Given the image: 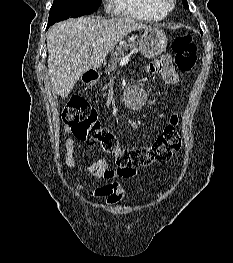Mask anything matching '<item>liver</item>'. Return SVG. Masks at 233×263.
<instances>
[{
    "instance_id": "1",
    "label": "liver",
    "mask_w": 233,
    "mask_h": 263,
    "mask_svg": "<svg viewBox=\"0 0 233 263\" xmlns=\"http://www.w3.org/2000/svg\"><path fill=\"white\" fill-rule=\"evenodd\" d=\"M148 28L129 17H81L54 25L47 33V48L48 75L56 94L67 97L80 76L100 66L119 41L132 31Z\"/></svg>"
}]
</instances>
